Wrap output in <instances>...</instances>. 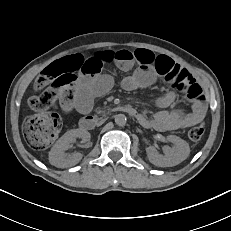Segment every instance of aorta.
Wrapping results in <instances>:
<instances>
[{
    "label": "aorta",
    "mask_w": 231,
    "mask_h": 231,
    "mask_svg": "<svg viewBox=\"0 0 231 231\" xmlns=\"http://www.w3.org/2000/svg\"><path fill=\"white\" fill-rule=\"evenodd\" d=\"M127 118L124 114H117L115 116V123L119 126H123L126 124Z\"/></svg>",
    "instance_id": "762f6f07"
}]
</instances>
